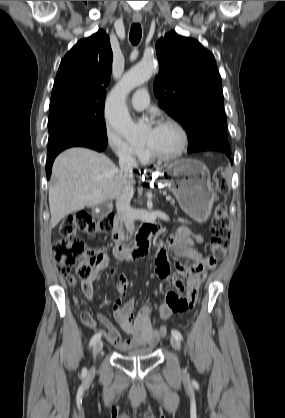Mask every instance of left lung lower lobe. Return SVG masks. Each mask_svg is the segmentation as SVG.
<instances>
[{"label": "left lung lower lobe", "instance_id": "0a47b994", "mask_svg": "<svg viewBox=\"0 0 285 418\" xmlns=\"http://www.w3.org/2000/svg\"><path fill=\"white\" fill-rule=\"evenodd\" d=\"M207 150L221 151V152L225 153L228 156V158L230 159V161L232 162V159L230 157L231 151H225V150H221V149H218V148H204V149H201V150H198V151H207ZM198 151H195V152H198Z\"/></svg>", "mask_w": 285, "mask_h": 418}]
</instances>
